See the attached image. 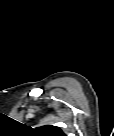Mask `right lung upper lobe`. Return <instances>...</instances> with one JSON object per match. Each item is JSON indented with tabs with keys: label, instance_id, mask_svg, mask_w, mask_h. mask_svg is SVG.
<instances>
[{
	"label": "right lung upper lobe",
	"instance_id": "1",
	"mask_svg": "<svg viewBox=\"0 0 114 136\" xmlns=\"http://www.w3.org/2000/svg\"><path fill=\"white\" fill-rule=\"evenodd\" d=\"M36 132L43 136H63V131L56 126L46 125L36 129Z\"/></svg>",
	"mask_w": 114,
	"mask_h": 136
}]
</instances>
